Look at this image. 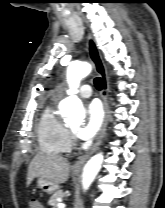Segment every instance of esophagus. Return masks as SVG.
<instances>
[{"instance_id": "34e87169", "label": "esophagus", "mask_w": 165, "mask_h": 208, "mask_svg": "<svg viewBox=\"0 0 165 208\" xmlns=\"http://www.w3.org/2000/svg\"><path fill=\"white\" fill-rule=\"evenodd\" d=\"M87 47H88V52L89 56L91 59V62L93 64V67L97 74L101 77L102 80V91H101V99L103 102V107H104V121L103 125L101 127V130L99 132L97 141L95 144L92 146V148L84 154L74 165H73V170L79 171L82 169L83 165L85 162L90 158V156L98 149L100 144L103 141L107 124H108V113H109V107H108V102H107V96H108V90H109V83H108V78L105 70V65L103 63L101 54L96 46L95 40L93 36L89 33L87 36Z\"/></svg>"}]
</instances>
